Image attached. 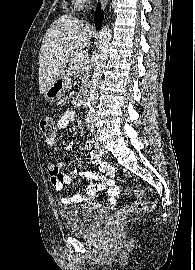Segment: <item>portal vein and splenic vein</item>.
Segmentation results:
<instances>
[{"mask_svg":"<svg viewBox=\"0 0 195 270\" xmlns=\"http://www.w3.org/2000/svg\"><path fill=\"white\" fill-rule=\"evenodd\" d=\"M74 56L77 60L82 61L86 58L85 52L84 51H77L74 53Z\"/></svg>","mask_w":195,"mask_h":270,"instance_id":"portal-vein-and-splenic-vein-1","label":"portal vein and splenic vein"}]
</instances>
